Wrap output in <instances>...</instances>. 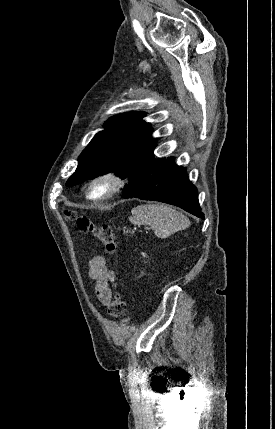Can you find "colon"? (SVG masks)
Instances as JSON below:
<instances>
[{"instance_id":"obj_1","label":"colon","mask_w":275,"mask_h":429,"mask_svg":"<svg viewBox=\"0 0 275 429\" xmlns=\"http://www.w3.org/2000/svg\"><path fill=\"white\" fill-rule=\"evenodd\" d=\"M66 217L69 220L75 221L77 227L82 232L91 233L94 235L104 246L105 251L113 255L117 249V240L110 225L103 224L97 225L93 223L89 217L83 214L76 213L74 211L67 210ZM126 312V303L120 296L116 294L113 301L108 306V314L112 318H122Z\"/></svg>"}]
</instances>
